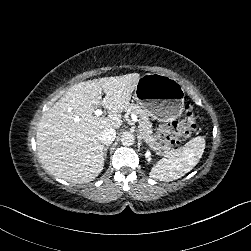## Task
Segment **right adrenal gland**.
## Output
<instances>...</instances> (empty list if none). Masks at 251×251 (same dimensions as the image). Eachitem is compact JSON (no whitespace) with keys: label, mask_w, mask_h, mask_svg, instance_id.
<instances>
[{"label":"right adrenal gland","mask_w":251,"mask_h":251,"mask_svg":"<svg viewBox=\"0 0 251 251\" xmlns=\"http://www.w3.org/2000/svg\"><path fill=\"white\" fill-rule=\"evenodd\" d=\"M108 148H109V145H106V146L104 147V149H103L104 159L107 158V150H108Z\"/></svg>","instance_id":"1"}]
</instances>
